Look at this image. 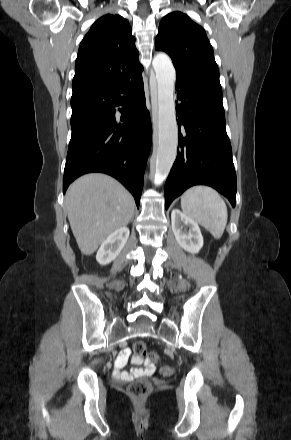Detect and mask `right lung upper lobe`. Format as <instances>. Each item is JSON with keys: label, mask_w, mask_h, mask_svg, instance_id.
I'll return each instance as SVG.
<instances>
[{"label": "right lung upper lobe", "mask_w": 291, "mask_h": 440, "mask_svg": "<svg viewBox=\"0 0 291 440\" xmlns=\"http://www.w3.org/2000/svg\"><path fill=\"white\" fill-rule=\"evenodd\" d=\"M142 70L129 22L107 14L92 25L80 44L73 94L115 86Z\"/></svg>", "instance_id": "1"}]
</instances>
